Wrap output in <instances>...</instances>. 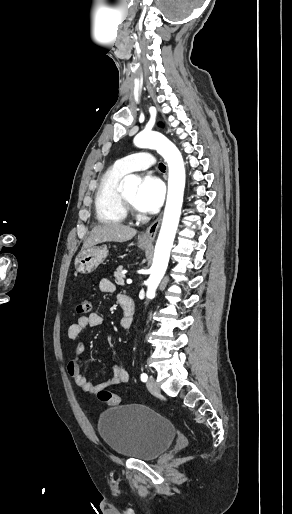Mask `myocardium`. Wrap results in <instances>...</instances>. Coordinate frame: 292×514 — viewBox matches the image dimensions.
Wrapping results in <instances>:
<instances>
[{"mask_svg": "<svg viewBox=\"0 0 292 514\" xmlns=\"http://www.w3.org/2000/svg\"><path fill=\"white\" fill-rule=\"evenodd\" d=\"M116 201L119 206V208L126 214L135 216L137 213V209L135 206H133L123 195L122 191L120 189L116 192Z\"/></svg>", "mask_w": 292, "mask_h": 514, "instance_id": "1", "label": "myocardium"}]
</instances>
